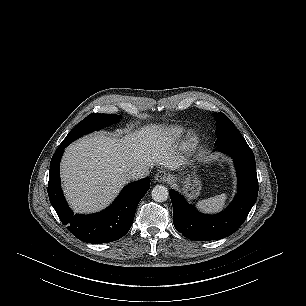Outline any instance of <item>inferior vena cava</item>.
Segmentation results:
<instances>
[{
  "label": "inferior vena cava",
  "mask_w": 306,
  "mask_h": 306,
  "mask_svg": "<svg viewBox=\"0 0 306 306\" xmlns=\"http://www.w3.org/2000/svg\"><path fill=\"white\" fill-rule=\"evenodd\" d=\"M149 174V167L145 165H138L131 169V171L128 173V177L130 179H141L144 178Z\"/></svg>",
  "instance_id": "obj_1"
}]
</instances>
